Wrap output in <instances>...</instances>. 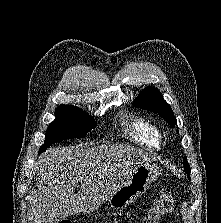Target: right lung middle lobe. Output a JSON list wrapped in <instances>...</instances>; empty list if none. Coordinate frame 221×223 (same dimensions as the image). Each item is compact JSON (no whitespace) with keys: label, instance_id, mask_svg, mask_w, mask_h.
I'll return each instance as SVG.
<instances>
[{"label":"right lung middle lobe","instance_id":"1","mask_svg":"<svg viewBox=\"0 0 221 223\" xmlns=\"http://www.w3.org/2000/svg\"><path fill=\"white\" fill-rule=\"evenodd\" d=\"M95 126V120L78 107L60 105L56 109V119L47 129L45 141L40 147L39 153L57 142L85 137Z\"/></svg>","mask_w":221,"mask_h":223}]
</instances>
